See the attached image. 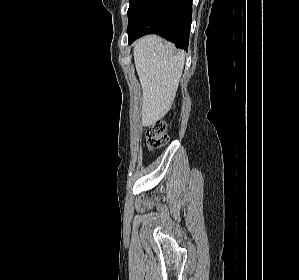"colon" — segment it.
I'll list each match as a JSON object with an SVG mask.
<instances>
[{"mask_svg": "<svg viewBox=\"0 0 299 280\" xmlns=\"http://www.w3.org/2000/svg\"><path fill=\"white\" fill-rule=\"evenodd\" d=\"M168 142L166 125L162 121L156 122L146 132V144L150 150H157Z\"/></svg>", "mask_w": 299, "mask_h": 280, "instance_id": "1", "label": "colon"}]
</instances>
